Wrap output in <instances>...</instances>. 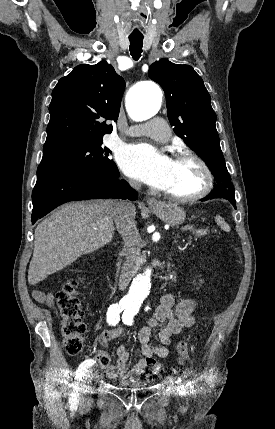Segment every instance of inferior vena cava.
Here are the masks:
<instances>
[{"instance_id": "inferior-vena-cava-1", "label": "inferior vena cava", "mask_w": 275, "mask_h": 429, "mask_svg": "<svg viewBox=\"0 0 275 429\" xmlns=\"http://www.w3.org/2000/svg\"><path fill=\"white\" fill-rule=\"evenodd\" d=\"M135 189H140L141 184L130 182ZM135 206L128 201H120L115 213L116 228L124 241V254L126 256V268L129 269L139 261L141 251V237L135 222Z\"/></svg>"}]
</instances>
